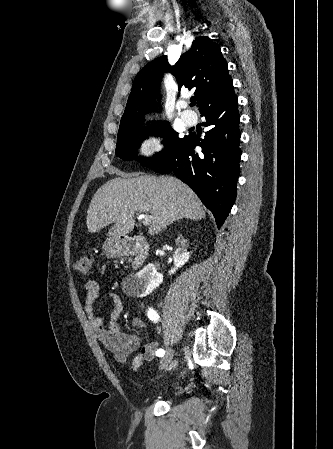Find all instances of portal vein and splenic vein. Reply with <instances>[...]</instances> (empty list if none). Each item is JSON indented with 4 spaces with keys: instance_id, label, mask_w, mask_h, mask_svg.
Returning a JSON list of instances; mask_svg holds the SVG:
<instances>
[{
    "instance_id": "18ae733b",
    "label": "portal vein and splenic vein",
    "mask_w": 333,
    "mask_h": 449,
    "mask_svg": "<svg viewBox=\"0 0 333 449\" xmlns=\"http://www.w3.org/2000/svg\"><path fill=\"white\" fill-rule=\"evenodd\" d=\"M151 222H152V216L151 215L146 214V215L142 216V223L144 225H149Z\"/></svg>"
}]
</instances>
